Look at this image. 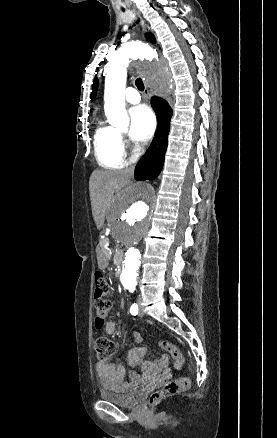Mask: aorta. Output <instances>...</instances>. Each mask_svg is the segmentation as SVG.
Here are the masks:
<instances>
[{
	"mask_svg": "<svg viewBox=\"0 0 277 438\" xmlns=\"http://www.w3.org/2000/svg\"><path fill=\"white\" fill-rule=\"evenodd\" d=\"M155 58V53L141 42L127 43L115 53L106 66L104 109L111 125L123 128L129 124L125 110L127 66L132 59ZM146 82L160 94L173 93L172 77L164 66H150L142 71ZM155 212V191L146 182L126 189L113 204L109 213L110 231L124 250L120 280L125 289L133 292L137 286L141 263L139 245L147 236Z\"/></svg>",
	"mask_w": 277,
	"mask_h": 438,
	"instance_id": "1",
	"label": "aorta"
}]
</instances>
